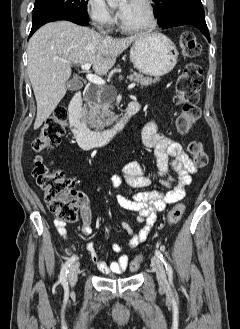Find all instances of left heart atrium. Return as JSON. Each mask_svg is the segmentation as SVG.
Instances as JSON below:
<instances>
[{
	"mask_svg": "<svg viewBox=\"0 0 240 329\" xmlns=\"http://www.w3.org/2000/svg\"><path fill=\"white\" fill-rule=\"evenodd\" d=\"M127 13V6L121 7L118 11V15L123 18Z\"/></svg>",
	"mask_w": 240,
	"mask_h": 329,
	"instance_id": "left-heart-atrium-1",
	"label": "left heart atrium"
}]
</instances>
